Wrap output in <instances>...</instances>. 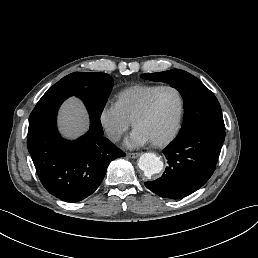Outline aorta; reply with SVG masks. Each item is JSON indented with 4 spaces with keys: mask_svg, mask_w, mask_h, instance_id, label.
Returning <instances> with one entry per match:
<instances>
[{
    "mask_svg": "<svg viewBox=\"0 0 258 258\" xmlns=\"http://www.w3.org/2000/svg\"><path fill=\"white\" fill-rule=\"evenodd\" d=\"M139 168L145 173L146 176H152L160 173L163 169V162L154 153H144L138 162Z\"/></svg>",
    "mask_w": 258,
    "mask_h": 258,
    "instance_id": "obj_1",
    "label": "aorta"
}]
</instances>
